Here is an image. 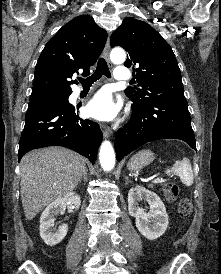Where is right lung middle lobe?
<instances>
[{"label":"right lung middle lobe","mask_w":221,"mask_h":274,"mask_svg":"<svg viewBox=\"0 0 221 274\" xmlns=\"http://www.w3.org/2000/svg\"><path fill=\"white\" fill-rule=\"evenodd\" d=\"M69 95L70 94H62V95H55V96L42 98V99L30 100L28 104V109L43 107V106L56 104V103L68 102Z\"/></svg>","instance_id":"1"}]
</instances>
